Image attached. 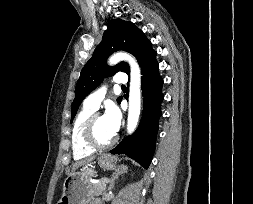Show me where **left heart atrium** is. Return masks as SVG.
Wrapping results in <instances>:
<instances>
[{
	"label": "left heart atrium",
	"instance_id": "left-heart-atrium-1",
	"mask_svg": "<svg viewBox=\"0 0 253 204\" xmlns=\"http://www.w3.org/2000/svg\"><path fill=\"white\" fill-rule=\"evenodd\" d=\"M104 119L109 129L116 134L121 125V112L115 104H109L104 113Z\"/></svg>",
	"mask_w": 253,
	"mask_h": 204
}]
</instances>
